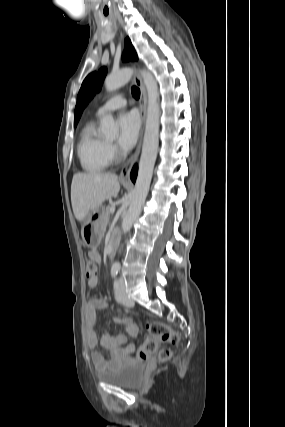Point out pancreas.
<instances>
[{"instance_id":"cf45deb5","label":"pancreas","mask_w":285,"mask_h":427,"mask_svg":"<svg viewBox=\"0 0 285 427\" xmlns=\"http://www.w3.org/2000/svg\"><path fill=\"white\" fill-rule=\"evenodd\" d=\"M110 209H111V206H107L106 209L102 212L101 220H100V230L101 231H105L106 227L109 223L110 214H111Z\"/></svg>"}]
</instances>
